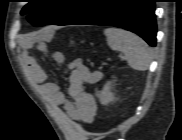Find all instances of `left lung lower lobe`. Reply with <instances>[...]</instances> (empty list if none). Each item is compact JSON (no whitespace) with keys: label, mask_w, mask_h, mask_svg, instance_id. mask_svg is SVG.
I'll return each mask as SVG.
<instances>
[{"label":"left lung lower lobe","mask_w":182,"mask_h":140,"mask_svg":"<svg viewBox=\"0 0 182 140\" xmlns=\"http://www.w3.org/2000/svg\"><path fill=\"white\" fill-rule=\"evenodd\" d=\"M156 0H102L74 25H106L124 28L156 45ZM71 25V24H69Z\"/></svg>","instance_id":"1"}]
</instances>
